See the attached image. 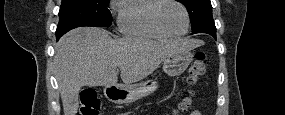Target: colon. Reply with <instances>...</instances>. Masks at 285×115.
<instances>
[{
    "label": "colon",
    "mask_w": 285,
    "mask_h": 115,
    "mask_svg": "<svg viewBox=\"0 0 285 115\" xmlns=\"http://www.w3.org/2000/svg\"><path fill=\"white\" fill-rule=\"evenodd\" d=\"M206 71V59L203 52H197L192 64L189 67L187 81L190 86H195ZM194 97V92L189 91L188 96H186L179 104V111L186 112L190 109L192 105V100ZM100 110V102L97 98L96 93L87 89L84 90L80 98V107L78 110L79 115H98Z\"/></svg>",
    "instance_id": "1"
}]
</instances>
